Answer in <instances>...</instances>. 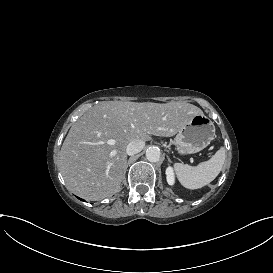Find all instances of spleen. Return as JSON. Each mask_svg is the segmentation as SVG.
<instances>
[{
	"label": "spleen",
	"mask_w": 273,
	"mask_h": 273,
	"mask_svg": "<svg viewBox=\"0 0 273 273\" xmlns=\"http://www.w3.org/2000/svg\"><path fill=\"white\" fill-rule=\"evenodd\" d=\"M225 162V148L220 146L217 153L199 167L188 164H176L178 176L182 184L191 190H196L211 183L220 173Z\"/></svg>",
	"instance_id": "obj_1"
}]
</instances>
